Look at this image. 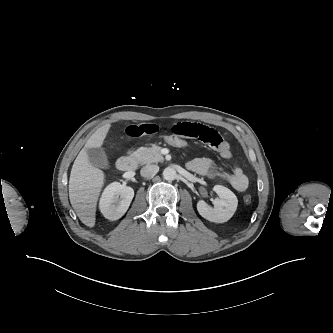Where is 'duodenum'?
Masks as SVG:
<instances>
[{
  "label": "duodenum",
  "instance_id": "410a0bca",
  "mask_svg": "<svg viewBox=\"0 0 333 333\" xmlns=\"http://www.w3.org/2000/svg\"><path fill=\"white\" fill-rule=\"evenodd\" d=\"M137 164V157L132 152H129L117 161V168L123 172H130L137 167Z\"/></svg>",
  "mask_w": 333,
  "mask_h": 333
}]
</instances>
